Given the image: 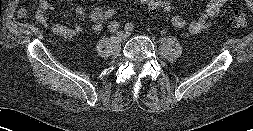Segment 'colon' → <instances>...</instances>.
<instances>
[{
    "instance_id": "colon-1",
    "label": "colon",
    "mask_w": 253,
    "mask_h": 131,
    "mask_svg": "<svg viewBox=\"0 0 253 131\" xmlns=\"http://www.w3.org/2000/svg\"><path fill=\"white\" fill-rule=\"evenodd\" d=\"M150 10H156L159 8L167 9L170 6V2L167 0H140ZM118 16V10L113 7L103 9L104 22H111ZM232 25L236 28H243L247 25V12L245 10H236L233 13Z\"/></svg>"
}]
</instances>
